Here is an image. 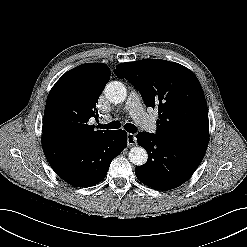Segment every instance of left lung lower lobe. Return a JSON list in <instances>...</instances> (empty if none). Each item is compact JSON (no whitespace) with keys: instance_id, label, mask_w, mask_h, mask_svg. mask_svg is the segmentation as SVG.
Segmentation results:
<instances>
[{"instance_id":"obj_1","label":"left lung lower lobe","mask_w":247,"mask_h":247,"mask_svg":"<svg viewBox=\"0 0 247 247\" xmlns=\"http://www.w3.org/2000/svg\"><path fill=\"white\" fill-rule=\"evenodd\" d=\"M137 141L148 152V162L137 167L135 174L143 184L157 190L174 189L186 182L206 153L146 132L138 133Z\"/></svg>"}]
</instances>
